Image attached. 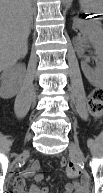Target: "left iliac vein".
<instances>
[{
	"mask_svg": "<svg viewBox=\"0 0 103 193\" xmlns=\"http://www.w3.org/2000/svg\"><path fill=\"white\" fill-rule=\"evenodd\" d=\"M69 151L76 155L80 160L85 161L84 155L76 143L71 142L69 145Z\"/></svg>",
	"mask_w": 103,
	"mask_h": 193,
	"instance_id": "4c4485c4",
	"label": "left iliac vein"
}]
</instances>
